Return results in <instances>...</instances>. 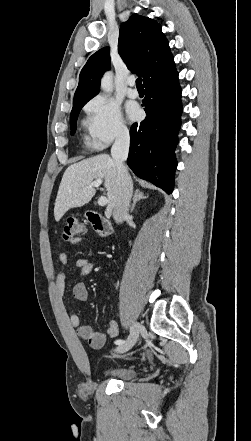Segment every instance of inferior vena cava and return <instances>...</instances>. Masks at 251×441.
Returning <instances> with one entry per match:
<instances>
[{"mask_svg":"<svg viewBox=\"0 0 251 441\" xmlns=\"http://www.w3.org/2000/svg\"><path fill=\"white\" fill-rule=\"evenodd\" d=\"M130 136L127 130H120L111 148V156L116 165L119 181V191L113 217L116 223H122L128 215L133 184L124 161L129 153Z\"/></svg>","mask_w":251,"mask_h":441,"instance_id":"inferior-vena-cava-1","label":"inferior vena cava"}]
</instances>
